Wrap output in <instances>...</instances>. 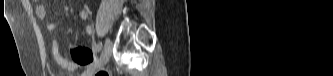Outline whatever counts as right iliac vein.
I'll return each instance as SVG.
<instances>
[{"mask_svg": "<svg viewBox=\"0 0 333 76\" xmlns=\"http://www.w3.org/2000/svg\"><path fill=\"white\" fill-rule=\"evenodd\" d=\"M111 50H112V43L109 39H107L101 57L97 62V64L94 65V69L103 67L109 61ZM94 69L87 70L85 72V75H90Z\"/></svg>", "mask_w": 333, "mask_h": 76, "instance_id": "1", "label": "right iliac vein"}]
</instances>
